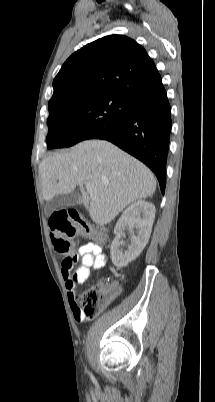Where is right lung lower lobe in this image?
<instances>
[{"mask_svg":"<svg viewBox=\"0 0 215 402\" xmlns=\"http://www.w3.org/2000/svg\"><path fill=\"white\" fill-rule=\"evenodd\" d=\"M171 125V107L162 89L133 99L120 121L88 139L108 140L142 161L155 173L164 194Z\"/></svg>","mask_w":215,"mask_h":402,"instance_id":"obj_1","label":"right lung lower lobe"}]
</instances>
